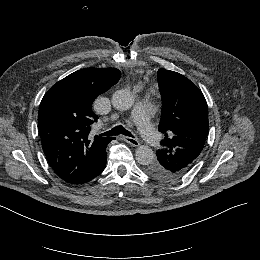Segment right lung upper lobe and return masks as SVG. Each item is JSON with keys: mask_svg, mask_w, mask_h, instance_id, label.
Wrapping results in <instances>:
<instances>
[{"mask_svg": "<svg viewBox=\"0 0 260 260\" xmlns=\"http://www.w3.org/2000/svg\"><path fill=\"white\" fill-rule=\"evenodd\" d=\"M116 68H85L57 82L44 95L38 126L45 156L56 174L77 183L106 165V147L113 137L89 136L98 116L94 99L120 79Z\"/></svg>", "mask_w": 260, "mask_h": 260, "instance_id": "right-lung-upper-lobe-1", "label": "right lung upper lobe"}]
</instances>
